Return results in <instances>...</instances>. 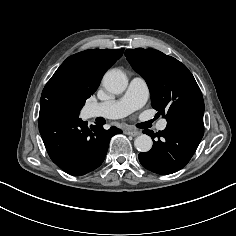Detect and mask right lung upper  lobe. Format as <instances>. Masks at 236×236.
Returning a JSON list of instances; mask_svg holds the SVG:
<instances>
[{
  "instance_id": "cb5924a9",
  "label": "right lung upper lobe",
  "mask_w": 236,
  "mask_h": 236,
  "mask_svg": "<svg viewBox=\"0 0 236 236\" xmlns=\"http://www.w3.org/2000/svg\"><path fill=\"white\" fill-rule=\"evenodd\" d=\"M123 51L124 49H99L74 54L61 64L44 90L57 81L66 80L93 94L98 88L104 73L122 56ZM44 90L41 101L44 98Z\"/></svg>"
}]
</instances>
